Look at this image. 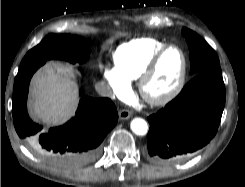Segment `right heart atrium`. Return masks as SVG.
Returning a JSON list of instances; mask_svg holds the SVG:
<instances>
[{
    "instance_id": "right-heart-atrium-1",
    "label": "right heart atrium",
    "mask_w": 245,
    "mask_h": 187,
    "mask_svg": "<svg viewBox=\"0 0 245 187\" xmlns=\"http://www.w3.org/2000/svg\"><path fill=\"white\" fill-rule=\"evenodd\" d=\"M101 69L112 94L118 98H126L130 93V86L120 77L116 67L104 64Z\"/></svg>"
}]
</instances>
